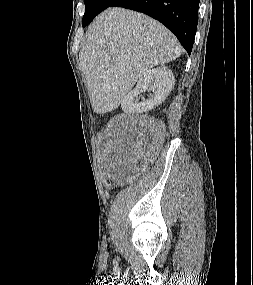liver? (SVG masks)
Here are the masks:
<instances>
[{"label": "liver", "mask_w": 253, "mask_h": 285, "mask_svg": "<svg viewBox=\"0 0 253 285\" xmlns=\"http://www.w3.org/2000/svg\"><path fill=\"white\" fill-rule=\"evenodd\" d=\"M181 52L176 37L151 17L118 7L103 11L88 27L79 53L93 111L118 108L148 70Z\"/></svg>", "instance_id": "1"}]
</instances>
